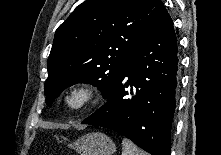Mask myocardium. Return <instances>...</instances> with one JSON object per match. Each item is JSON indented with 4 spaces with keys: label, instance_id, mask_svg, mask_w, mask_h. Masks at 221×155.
I'll return each mask as SVG.
<instances>
[{
    "label": "myocardium",
    "instance_id": "1",
    "mask_svg": "<svg viewBox=\"0 0 221 155\" xmlns=\"http://www.w3.org/2000/svg\"><path fill=\"white\" fill-rule=\"evenodd\" d=\"M99 97L97 87L92 83H78L69 87L62 97V103L66 110L79 112L86 109Z\"/></svg>",
    "mask_w": 221,
    "mask_h": 155
}]
</instances>
